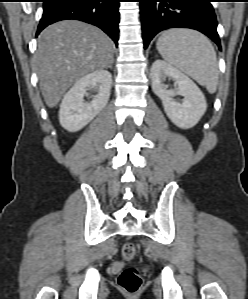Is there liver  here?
<instances>
[{
  "label": "liver",
  "mask_w": 248,
  "mask_h": 299,
  "mask_svg": "<svg viewBox=\"0 0 248 299\" xmlns=\"http://www.w3.org/2000/svg\"><path fill=\"white\" fill-rule=\"evenodd\" d=\"M113 42L99 28L76 20L48 26L38 38L35 65L48 107H55L80 78L108 68Z\"/></svg>",
  "instance_id": "1"
}]
</instances>
